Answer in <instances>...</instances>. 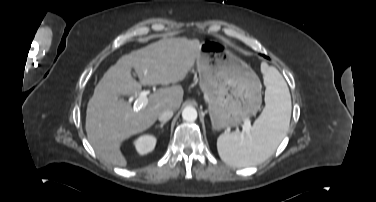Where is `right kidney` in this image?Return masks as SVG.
<instances>
[{
  "instance_id": "ca27d5eb",
  "label": "right kidney",
  "mask_w": 376,
  "mask_h": 202,
  "mask_svg": "<svg viewBox=\"0 0 376 202\" xmlns=\"http://www.w3.org/2000/svg\"><path fill=\"white\" fill-rule=\"evenodd\" d=\"M134 145L138 153L144 155L155 148L156 138L152 134H144L134 141Z\"/></svg>"
}]
</instances>
